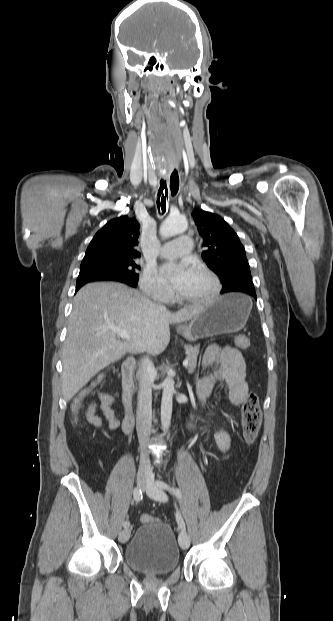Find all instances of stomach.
Wrapping results in <instances>:
<instances>
[{
	"label": "stomach",
	"mask_w": 333,
	"mask_h": 621,
	"mask_svg": "<svg viewBox=\"0 0 333 621\" xmlns=\"http://www.w3.org/2000/svg\"><path fill=\"white\" fill-rule=\"evenodd\" d=\"M252 308L250 298L244 294H226L207 303L191 320L189 341L231 333L244 327Z\"/></svg>",
	"instance_id": "0dacf381"
}]
</instances>
